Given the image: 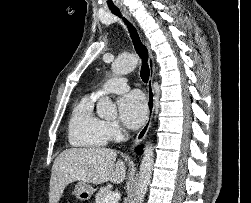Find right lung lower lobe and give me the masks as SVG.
Segmentation results:
<instances>
[{"label": "right lung lower lobe", "instance_id": "right-lung-lower-lobe-1", "mask_svg": "<svg viewBox=\"0 0 251 203\" xmlns=\"http://www.w3.org/2000/svg\"><path fill=\"white\" fill-rule=\"evenodd\" d=\"M141 151H142V146H139L137 149H136V152H140L141 153Z\"/></svg>", "mask_w": 251, "mask_h": 203}]
</instances>
